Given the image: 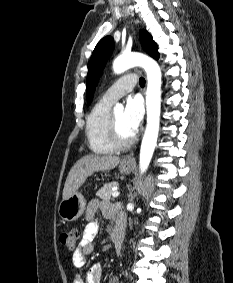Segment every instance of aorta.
<instances>
[{
    "mask_svg": "<svg viewBox=\"0 0 233 283\" xmlns=\"http://www.w3.org/2000/svg\"><path fill=\"white\" fill-rule=\"evenodd\" d=\"M140 66L147 74L146 108L147 125L140 148L139 169L141 174L149 167L157 143L161 110V70L152 58L141 53H124L113 62V71L121 74L129 68ZM115 110H122V104H116Z\"/></svg>",
    "mask_w": 233,
    "mask_h": 283,
    "instance_id": "1",
    "label": "aorta"
}]
</instances>
